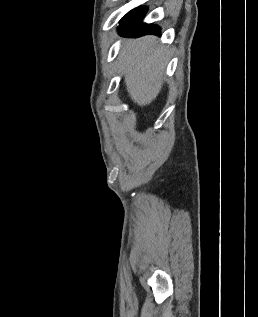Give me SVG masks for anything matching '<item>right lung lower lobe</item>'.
<instances>
[{"instance_id": "98d812e1", "label": "right lung lower lobe", "mask_w": 258, "mask_h": 317, "mask_svg": "<svg viewBox=\"0 0 258 317\" xmlns=\"http://www.w3.org/2000/svg\"><path fill=\"white\" fill-rule=\"evenodd\" d=\"M146 12V7H140L125 15L119 25L120 34L129 37H140L146 34L160 35L158 26L141 22Z\"/></svg>"}]
</instances>
